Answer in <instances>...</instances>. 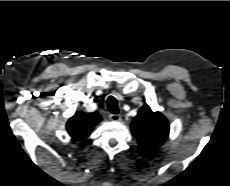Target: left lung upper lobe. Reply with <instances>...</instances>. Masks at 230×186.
<instances>
[{
	"label": "left lung upper lobe",
	"instance_id": "5c2ea615",
	"mask_svg": "<svg viewBox=\"0 0 230 186\" xmlns=\"http://www.w3.org/2000/svg\"><path fill=\"white\" fill-rule=\"evenodd\" d=\"M131 130L140 149L147 153L165 142L169 135V123L160 112H153L148 105H144L134 117Z\"/></svg>",
	"mask_w": 230,
	"mask_h": 186
}]
</instances>
